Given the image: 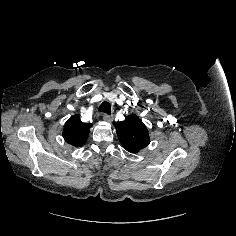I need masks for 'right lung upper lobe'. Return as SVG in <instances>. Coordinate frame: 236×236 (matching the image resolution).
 Here are the masks:
<instances>
[{
	"mask_svg": "<svg viewBox=\"0 0 236 236\" xmlns=\"http://www.w3.org/2000/svg\"><path fill=\"white\" fill-rule=\"evenodd\" d=\"M92 124L83 123L78 115L72 116L63 129L65 141L75 147H80L87 141Z\"/></svg>",
	"mask_w": 236,
	"mask_h": 236,
	"instance_id": "obj_1",
	"label": "right lung upper lobe"
}]
</instances>
